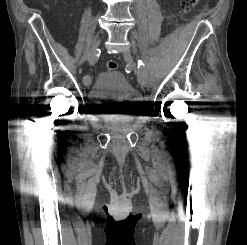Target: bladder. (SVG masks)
I'll list each match as a JSON object with an SVG mask.
<instances>
[{
	"instance_id": "obj_1",
	"label": "bladder",
	"mask_w": 247,
	"mask_h": 245,
	"mask_svg": "<svg viewBox=\"0 0 247 245\" xmlns=\"http://www.w3.org/2000/svg\"><path fill=\"white\" fill-rule=\"evenodd\" d=\"M88 99L98 113H131L140 104V94L126 76L116 70L101 72L88 92Z\"/></svg>"
}]
</instances>
